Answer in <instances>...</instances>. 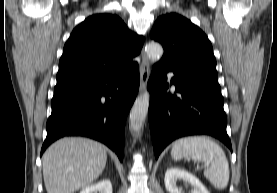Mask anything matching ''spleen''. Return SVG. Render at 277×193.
Returning <instances> with one entry per match:
<instances>
[{"instance_id":"3e777b00","label":"spleen","mask_w":277,"mask_h":193,"mask_svg":"<svg viewBox=\"0 0 277 193\" xmlns=\"http://www.w3.org/2000/svg\"><path fill=\"white\" fill-rule=\"evenodd\" d=\"M191 157L210 164L204 176L218 190H224L229 182V164L222 148L205 136H190L177 140L171 150V157L180 160Z\"/></svg>"}]
</instances>
